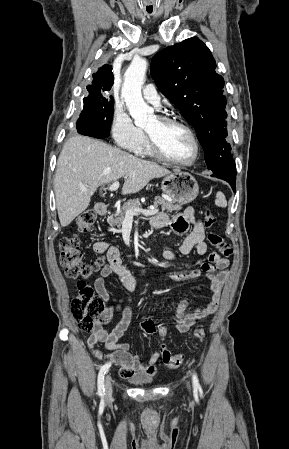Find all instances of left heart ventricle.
<instances>
[{
    "instance_id": "b2bd125f",
    "label": "left heart ventricle",
    "mask_w": 289,
    "mask_h": 449,
    "mask_svg": "<svg viewBox=\"0 0 289 449\" xmlns=\"http://www.w3.org/2000/svg\"><path fill=\"white\" fill-rule=\"evenodd\" d=\"M169 157L188 161L194 156V145L188 133L176 125H163L155 118L146 128Z\"/></svg>"
}]
</instances>
